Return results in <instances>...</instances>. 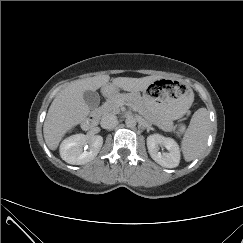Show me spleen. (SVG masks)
I'll return each mask as SVG.
<instances>
[{
	"label": "spleen",
	"instance_id": "spleen-1",
	"mask_svg": "<svg viewBox=\"0 0 243 243\" xmlns=\"http://www.w3.org/2000/svg\"><path fill=\"white\" fill-rule=\"evenodd\" d=\"M209 130V113L206 108H200L193 114L181 141V150L185 161L189 162L196 159L204 151Z\"/></svg>",
	"mask_w": 243,
	"mask_h": 243
}]
</instances>
